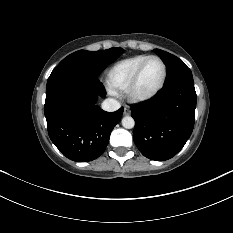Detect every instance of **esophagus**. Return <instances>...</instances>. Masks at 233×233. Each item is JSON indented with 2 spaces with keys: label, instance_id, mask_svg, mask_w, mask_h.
<instances>
[{
  "label": "esophagus",
  "instance_id": "1",
  "mask_svg": "<svg viewBox=\"0 0 233 233\" xmlns=\"http://www.w3.org/2000/svg\"><path fill=\"white\" fill-rule=\"evenodd\" d=\"M124 115H129L130 113H131V110H130V108L128 107V106H125L124 107Z\"/></svg>",
  "mask_w": 233,
  "mask_h": 233
}]
</instances>
